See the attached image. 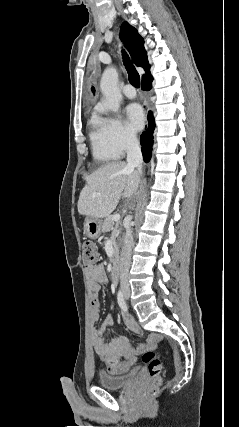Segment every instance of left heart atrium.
<instances>
[{
    "label": "left heart atrium",
    "mask_w": 239,
    "mask_h": 427,
    "mask_svg": "<svg viewBox=\"0 0 239 427\" xmlns=\"http://www.w3.org/2000/svg\"><path fill=\"white\" fill-rule=\"evenodd\" d=\"M127 125L132 131H139L144 125V116L138 104H130L126 108Z\"/></svg>",
    "instance_id": "1"
}]
</instances>
